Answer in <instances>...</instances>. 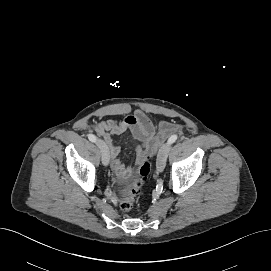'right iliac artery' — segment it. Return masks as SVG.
<instances>
[{"mask_svg": "<svg viewBox=\"0 0 271 271\" xmlns=\"http://www.w3.org/2000/svg\"><path fill=\"white\" fill-rule=\"evenodd\" d=\"M88 139H89L91 142H96V136H94L93 134H89V135H88Z\"/></svg>", "mask_w": 271, "mask_h": 271, "instance_id": "82829eb1", "label": "right iliac artery"}]
</instances>
